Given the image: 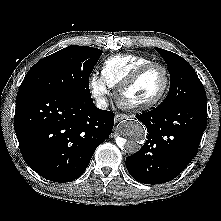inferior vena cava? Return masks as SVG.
Listing matches in <instances>:
<instances>
[{"instance_id": "inferior-vena-cava-1", "label": "inferior vena cava", "mask_w": 221, "mask_h": 221, "mask_svg": "<svg viewBox=\"0 0 221 221\" xmlns=\"http://www.w3.org/2000/svg\"><path fill=\"white\" fill-rule=\"evenodd\" d=\"M96 106L100 109H106L108 107V101L105 98H99L96 100Z\"/></svg>"}]
</instances>
